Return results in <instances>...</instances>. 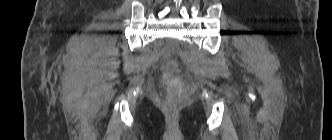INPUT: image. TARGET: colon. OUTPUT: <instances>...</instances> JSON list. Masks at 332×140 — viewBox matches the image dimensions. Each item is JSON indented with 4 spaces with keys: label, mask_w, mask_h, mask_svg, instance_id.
<instances>
[{
    "label": "colon",
    "mask_w": 332,
    "mask_h": 140,
    "mask_svg": "<svg viewBox=\"0 0 332 140\" xmlns=\"http://www.w3.org/2000/svg\"><path fill=\"white\" fill-rule=\"evenodd\" d=\"M175 65L171 63L168 67V71L164 76V83L167 89V95L163 99L164 107L172 112L181 102L182 84L176 79L174 75Z\"/></svg>",
    "instance_id": "1"
}]
</instances>
